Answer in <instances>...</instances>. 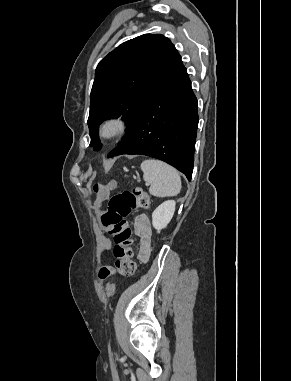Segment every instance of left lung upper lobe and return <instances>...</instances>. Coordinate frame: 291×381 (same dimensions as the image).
Masks as SVG:
<instances>
[{"label":"left lung upper lobe","instance_id":"left-lung-upper-lobe-1","mask_svg":"<svg viewBox=\"0 0 291 381\" xmlns=\"http://www.w3.org/2000/svg\"><path fill=\"white\" fill-rule=\"evenodd\" d=\"M182 66L175 46L160 34L126 41L103 58L90 95V146L99 148L98 126L108 118L121 116L127 134L148 101Z\"/></svg>","mask_w":291,"mask_h":381}]
</instances>
